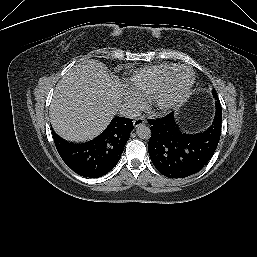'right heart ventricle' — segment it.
I'll list each match as a JSON object with an SVG mask.
<instances>
[{"label":"right heart ventricle","mask_w":257,"mask_h":257,"mask_svg":"<svg viewBox=\"0 0 257 257\" xmlns=\"http://www.w3.org/2000/svg\"><path fill=\"white\" fill-rule=\"evenodd\" d=\"M174 67L173 64H158L140 68L127 80V86L142 100L150 99L162 78Z\"/></svg>","instance_id":"e07e8e85"}]
</instances>
